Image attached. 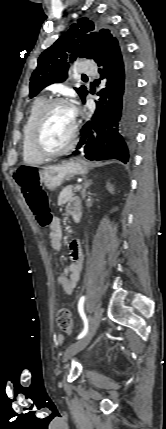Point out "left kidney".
Here are the masks:
<instances>
[{
    "label": "left kidney",
    "instance_id": "obj_1",
    "mask_svg": "<svg viewBox=\"0 0 166 429\" xmlns=\"http://www.w3.org/2000/svg\"><path fill=\"white\" fill-rule=\"evenodd\" d=\"M106 188L111 194H114V186L111 183L107 182ZM113 211H116V209H113Z\"/></svg>",
    "mask_w": 166,
    "mask_h": 429
}]
</instances>
